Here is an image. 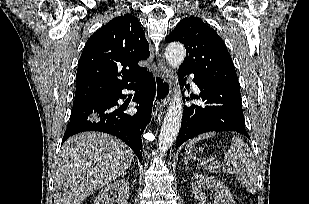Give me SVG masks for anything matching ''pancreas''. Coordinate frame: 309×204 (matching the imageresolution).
<instances>
[{
  "label": "pancreas",
  "instance_id": "cf45deb5",
  "mask_svg": "<svg viewBox=\"0 0 309 204\" xmlns=\"http://www.w3.org/2000/svg\"><path fill=\"white\" fill-rule=\"evenodd\" d=\"M206 169L213 173H219V168H215L212 165L207 166Z\"/></svg>",
  "mask_w": 309,
  "mask_h": 204
}]
</instances>
